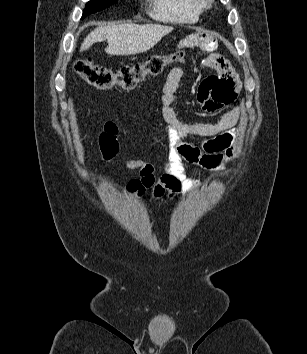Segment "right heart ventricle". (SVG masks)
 <instances>
[{
	"mask_svg": "<svg viewBox=\"0 0 307 354\" xmlns=\"http://www.w3.org/2000/svg\"><path fill=\"white\" fill-rule=\"evenodd\" d=\"M150 15L159 21L191 24L198 21L201 10L197 0H151Z\"/></svg>",
	"mask_w": 307,
	"mask_h": 354,
	"instance_id": "e07e8e85",
	"label": "right heart ventricle"
}]
</instances>
